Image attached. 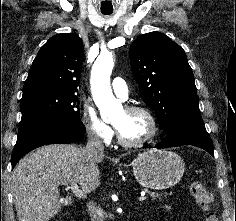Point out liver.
I'll return each mask as SVG.
<instances>
[{"instance_id": "6515ba94", "label": "liver", "mask_w": 236, "mask_h": 221, "mask_svg": "<svg viewBox=\"0 0 236 221\" xmlns=\"http://www.w3.org/2000/svg\"><path fill=\"white\" fill-rule=\"evenodd\" d=\"M75 145L43 146L22 158L13 171L12 189L19 221H49L61 209L58 188L79 184L90 193L100 184L98 163Z\"/></svg>"}]
</instances>
